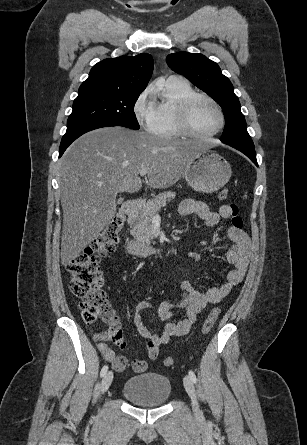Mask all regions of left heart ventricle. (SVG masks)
Masks as SVG:
<instances>
[{"instance_id":"b2bd125f","label":"left heart ventricle","mask_w":307,"mask_h":445,"mask_svg":"<svg viewBox=\"0 0 307 445\" xmlns=\"http://www.w3.org/2000/svg\"><path fill=\"white\" fill-rule=\"evenodd\" d=\"M191 116L194 125L203 133L217 130L222 123L219 110L213 104L202 100L193 106Z\"/></svg>"}]
</instances>
